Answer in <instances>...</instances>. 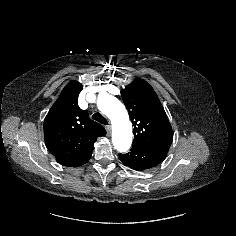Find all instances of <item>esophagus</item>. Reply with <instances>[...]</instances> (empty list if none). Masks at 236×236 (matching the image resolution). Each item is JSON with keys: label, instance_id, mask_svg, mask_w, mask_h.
I'll list each match as a JSON object with an SVG mask.
<instances>
[{"label": "esophagus", "instance_id": "esophagus-1", "mask_svg": "<svg viewBox=\"0 0 236 236\" xmlns=\"http://www.w3.org/2000/svg\"><path fill=\"white\" fill-rule=\"evenodd\" d=\"M106 131H107V135L110 136L111 135V126L110 125L106 126Z\"/></svg>", "mask_w": 236, "mask_h": 236}]
</instances>
